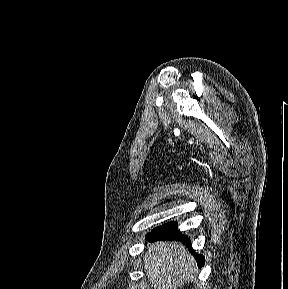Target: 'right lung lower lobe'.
<instances>
[{
    "mask_svg": "<svg viewBox=\"0 0 288 289\" xmlns=\"http://www.w3.org/2000/svg\"><path fill=\"white\" fill-rule=\"evenodd\" d=\"M182 237L184 242L190 244L188 238L186 236H182V234L178 231L176 228V223L174 222H168L165 225L157 227L147 235V239L150 241L165 239L181 240ZM195 256L198 266L202 267L205 263L204 257L197 254H195Z\"/></svg>",
    "mask_w": 288,
    "mask_h": 289,
    "instance_id": "98d812e1",
    "label": "right lung lower lobe"
}]
</instances>
